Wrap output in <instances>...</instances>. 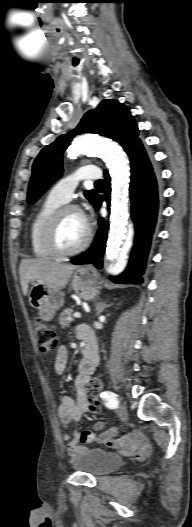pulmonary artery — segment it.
Listing matches in <instances>:
<instances>
[{
  "label": "pulmonary artery",
  "instance_id": "e3ab8cb5",
  "mask_svg": "<svg viewBox=\"0 0 192 527\" xmlns=\"http://www.w3.org/2000/svg\"><path fill=\"white\" fill-rule=\"evenodd\" d=\"M100 178L101 170L98 167L93 165L83 166L56 182L52 186L49 196L62 203L68 202L80 181L86 179L99 180Z\"/></svg>",
  "mask_w": 192,
  "mask_h": 527
}]
</instances>
